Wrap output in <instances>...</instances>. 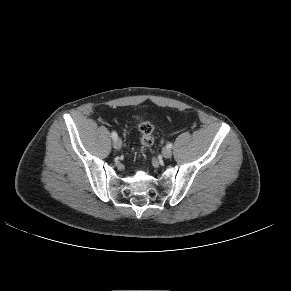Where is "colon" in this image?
Returning <instances> with one entry per match:
<instances>
[{
	"instance_id": "5ec220e1",
	"label": "colon",
	"mask_w": 291,
	"mask_h": 291,
	"mask_svg": "<svg viewBox=\"0 0 291 291\" xmlns=\"http://www.w3.org/2000/svg\"><path fill=\"white\" fill-rule=\"evenodd\" d=\"M140 143L143 147L149 148L154 143V125L150 120H145L139 125Z\"/></svg>"
}]
</instances>
